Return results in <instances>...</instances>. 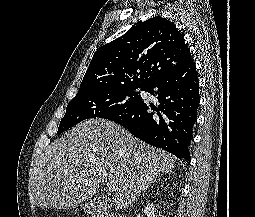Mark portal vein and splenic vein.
Wrapping results in <instances>:
<instances>
[{"label": "portal vein and splenic vein", "instance_id": "18ae733b", "mask_svg": "<svg viewBox=\"0 0 255 217\" xmlns=\"http://www.w3.org/2000/svg\"><path fill=\"white\" fill-rule=\"evenodd\" d=\"M107 191L108 192H114L115 190H116V188L114 187V186H112V184L111 183H107Z\"/></svg>", "mask_w": 255, "mask_h": 217}]
</instances>
